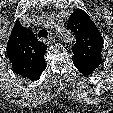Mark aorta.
Segmentation results:
<instances>
[{
  "label": "aorta",
  "instance_id": "762f6f07",
  "mask_svg": "<svg viewBox=\"0 0 113 113\" xmlns=\"http://www.w3.org/2000/svg\"><path fill=\"white\" fill-rule=\"evenodd\" d=\"M56 35L59 40L66 46L71 45L75 41L74 34L64 26H58Z\"/></svg>",
  "mask_w": 113,
  "mask_h": 113
}]
</instances>
